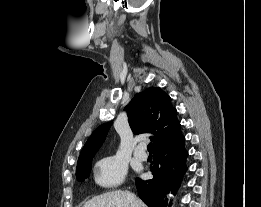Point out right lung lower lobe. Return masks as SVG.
<instances>
[{
  "label": "right lung lower lobe",
  "mask_w": 261,
  "mask_h": 207,
  "mask_svg": "<svg viewBox=\"0 0 261 207\" xmlns=\"http://www.w3.org/2000/svg\"><path fill=\"white\" fill-rule=\"evenodd\" d=\"M185 137L154 150L153 163L150 167L153 178L141 180L136 178L135 184L139 197L149 207L167 206L166 193L175 195L182 177L187 170L185 160L188 152L184 148Z\"/></svg>",
  "instance_id": "98d812e1"
}]
</instances>
